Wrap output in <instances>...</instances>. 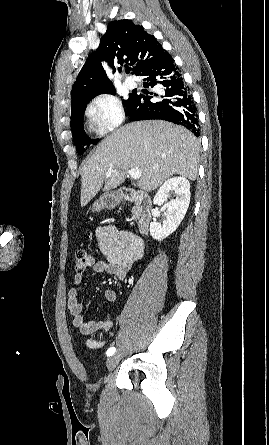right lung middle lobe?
Masks as SVG:
<instances>
[{
	"label": "right lung middle lobe",
	"instance_id": "right-lung-middle-lobe-1",
	"mask_svg": "<svg viewBox=\"0 0 269 445\" xmlns=\"http://www.w3.org/2000/svg\"><path fill=\"white\" fill-rule=\"evenodd\" d=\"M109 94L115 95V91L108 92ZM134 98V94H130L129 98L123 100L127 111H129L132 101ZM91 99L81 102L73 107H71V128H72V136L74 140V144L76 145V149L79 155H81L85 151V146L90 144H96L99 139H91L87 137L82 123L83 113L86 107V104Z\"/></svg>",
	"mask_w": 269,
	"mask_h": 445
}]
</instances>
